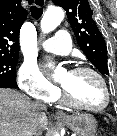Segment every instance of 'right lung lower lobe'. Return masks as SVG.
<instances>
[{
  "label": "right lung lower lobe",
  "mask_w": 117,
  "mask_h": 136,
  "mask_svg": "<svg viewBox=\"0 0 117 136\" xmlns=\"http://www.w3.org/2000/svg\"><path fill=\"white\" fill-rule=\"evenodd\" d=\"M0 88H18L16 82L2 81L0 82Z\"/></svg>",
  "instance_id": "right-lung-lower-lobe-1"
}]
</instances>
